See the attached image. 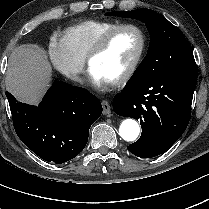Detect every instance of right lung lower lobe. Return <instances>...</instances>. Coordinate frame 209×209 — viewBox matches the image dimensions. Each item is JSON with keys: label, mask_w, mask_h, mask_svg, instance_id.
<instances>
[{"label": "right lung lower lobe", "mask_w": 209, "mask_h": 209, "mask_svg": "<svg viewBox=\"0 0 209 209\" xmlns=\"http://www.w3.org/2000/svg\"><path fill=\"white\" fill-rule=\"evenodd\" d=\"M13 125L21 141L37 156L61 164L86 146L90 126L102 105L84 88L55 82L38 106L18 102L6 92Z\"/></svg>", "instance_id": "98d812e1"}]
</instances>
